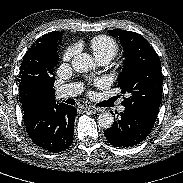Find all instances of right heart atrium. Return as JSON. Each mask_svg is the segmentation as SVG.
<instances>
[{
    "label": "right heart atrium",
    "mask_w": 183,
    "mask_h": 183,
    "mask_svg": "<svg viewBox=\"0 0 183 183\" xmlns=\"http://www.w3.org/2000/svg\"><path fill=\"white\" fill-rule=\"evenodd\" d=\"M74 53H75L74 47L67 48L63 54V61L68 62L72 58Z\"/></svg>",
    "instance_id": "obj_1"
}]
</instances>
